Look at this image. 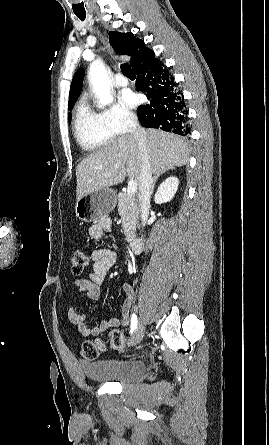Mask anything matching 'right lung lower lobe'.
Listing matches in <instances>:
<instances>
[{
  "instance_id": "1",
  "label": "right lung lower lobe",
  "mask_w": 269,
  "mask_h": 445,
  "mask_svg": "<svg viewBox=\"0 0 269 445\" xmlns=\"http://www.w3.org/2000/svg\"><path fill=\"white\" fill-rule=\"evenodd\" d=\"M134 71L137 91L144 92L149 100L148 104L137 109L141 124L146 128H160L182 136L190 134L183 94L167 67L154 57Z\"/></svg>"
}]
</instances>
